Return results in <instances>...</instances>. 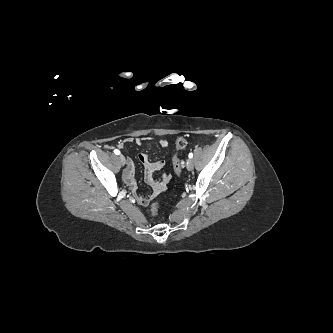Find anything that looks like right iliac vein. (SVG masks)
<instances>
[{
  "label": "right iliac vein",
  "mask_w": 333,
  "mask_h": 333,
  "mask_svg": "<svg viewBox=\"0 0 333 333\" xmlns=\"http://www.w3.org/2000/svg\"><path fill=\"white\" fill-rule=\"evenodd\" d=\"M119 160H120V162H121V165H125V163H126V160H125V157L121 154V155H119Z\"/></svg>",
  "instance_id": "1"
}]
</instances>
